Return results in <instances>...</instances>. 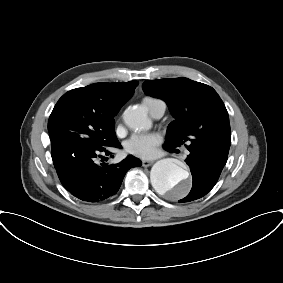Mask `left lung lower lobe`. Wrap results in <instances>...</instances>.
Listing matches in <instances>:
<instances>
[{
  "label": "left lung lower lobe",
  "instance_id": "left-lung-lower-lobe-1",
  "mask_svg": "<svg viewBox=\"0 0 283 283\" xmlns=\"http://www.w3.org/2000/svg\"><path fill=\"white\" fill-rule=\"evenodd\" d=\"M172 152L174 148L165 147ZM227 160L211 159L203 154L190 151L186 162L188 163L193 185L190 193L180 202H190L206 195L216 184Z\"/></svg>",
  "mask_w": 283,
  "mask_h": 283
}]
</instances>
